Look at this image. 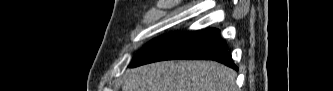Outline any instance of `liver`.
<instances>
[{"mask_svg": "<svg viewBox=\"0 0 333 91\" xmlns=\"http://www.w3.org/2000/svg\"><path fill=\"white\" fill-rule=\"evenodd\" d=\"M236 76L213 61H164L128 71L123 91H236Z\"/></svg>", "mask_w": 333, "mask_h": 91, "instance_id": "obj_1", "label": "liver"}]
</instances>
